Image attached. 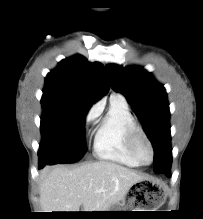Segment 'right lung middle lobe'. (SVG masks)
<instances>
[{
	"label": "right lung middle lobe",
	"instance_id": "dd1d6c3e",
	"mask_svg": "<svg viewBox=\"0 0 203 219\" xmlns=\"http://www.w3.org/2000/svg\"><path fill=\"white\" fill-rule=\"evenodd\" d=\"M39 164L73 163L85 153L84 123L91 107L85 102L43 92Z\"/></svg>",
	"mask_w": 203,
	"mask_h": 219
}]
</instances>
